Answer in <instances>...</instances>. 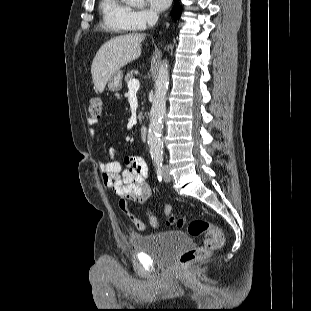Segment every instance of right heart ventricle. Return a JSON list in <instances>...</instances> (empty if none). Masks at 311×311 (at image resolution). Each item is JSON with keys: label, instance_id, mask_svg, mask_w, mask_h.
I'll use <instances>...</instances> for the list:
<instances>
[{"label": "right heart ventricle", "instance_id": "right-heart-ventricle-1", "mask_svg": "<svg viewBox=\"0 0 311 311\" xmlns=\"http://www.w3.org/2000/svg\"><path fill=\"white\" fill-rule=\"evenodd\" d=\"M99 10L101 23L107 30L117 33L132 31L128 21L130 8L123 0H101Z\"/></svg>", "mask_w": 311, "mask_h": 311}]
</instances>
